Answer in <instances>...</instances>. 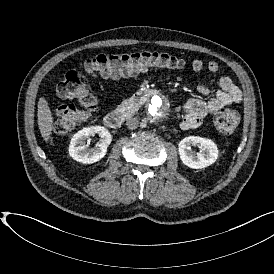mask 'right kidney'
<instances>
[{
  "label": "right kidney",
  "instance_id": "ca27d5eb",
  "mask_svg": "<svg viewBox=\"0 0 274 274\" xmlns=\"http://www.w3.org/2000/svg\"><path fill=\"white\" fill-rule=\"evenodd\" d=\"M95 134L100 136V142L94 148H88L85 141ZM112 135L103 126H90L75 133L69 145V155L76 161L92 164L102 159L111 144Z\"/></svg>",
  "mask_w": 274,
  "mask_h": 274
}]
</instances>
